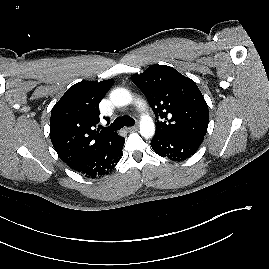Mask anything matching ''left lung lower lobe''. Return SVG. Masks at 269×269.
Returning <instances> with one entry per match:
<instances>
[{"label": "left lung lower lobe", "instance_id": "left-lung-lower-lobe-1", "mask_svg": "<svg viewBox=\"0 0 269 269\" xmlns=\"http://www.w3.org/2000/svg\"><path fill=\"white\" fill-rule=\"evenodd\" d=\"M203 139V136H170L155 133L151 140V147L161 157L182 161L197 151Z\"/></svg>", "mask_w": 269, "mask_h": 269}]
</instances>
